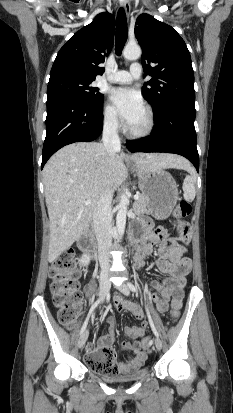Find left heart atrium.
Listing matches in <instances>:
<instances>
[{
	"label": "left heart atrium",
	"instance_id": "1",
	"mask_svg": "<svg viewBox=\"0 0 233 413\" xmlns=\"http://www.w3.org/2000/svg\"><path fill=\"white\" fill-rule=\"evenodd\" d=\"M111 100L122 117L124 122L130 127L145 111L144 101L139 92L118 88L112 92Z\"/></svg>",
	"mask_w": 233,
	"mask_h": 413
}]
</instances>
